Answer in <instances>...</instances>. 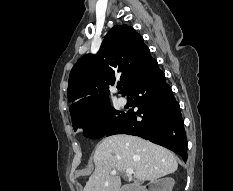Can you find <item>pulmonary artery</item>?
I'll list each match as a JSON object with an SVG mask.
<instances>
[{
  "instance_id": "1",
  "label": "pulmonary artery",
  "mask_w": 233,
  "mask_h": 191,
  "mask_svg": "<svg viewBox=\"0 0 233 191\" xmlns=\"http://www.w3.org/2000/svg\"><path fill=\"white\" fill-rule=\"evenodd\" d=\"M118 103H119L120 106H124L127 103V99L125 97H120L118 99Z\"/></svg>"
}]
</instances>
